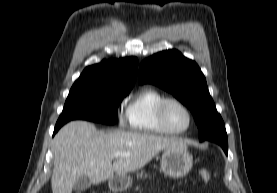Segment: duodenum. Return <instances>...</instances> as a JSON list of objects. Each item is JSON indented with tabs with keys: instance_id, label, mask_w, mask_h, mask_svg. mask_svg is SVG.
<instances>
[{
	"instance_id": "410a0bca",
	"label": "duodenum",
	"mask_w": 277,
	"mask_h": 193,
	"mask_svg": "<svg viewBox=\"0 0 277 193\" xmlns=\"http://www.w3.org/2000/svg\"><path fill=\"white\" fill-rule=\"evenodd\" d=\"M111 187L114 189V190H117L119 187H120V183L118 181H112L111 182Z\"/></svg>"
}]
</instances>
